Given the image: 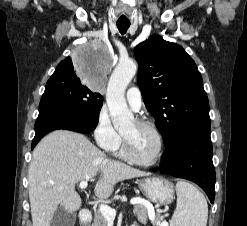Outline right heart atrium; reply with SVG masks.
I'll return each mask as SVG.
<instances>
[{"label": "right heart atrium", "mask_w": 247, "mask_h": 226, "mask_svg": "<svg viewBox=\"0 0 247 226\" xmlns=\"http://www.w3.org/2000/svg\"><path fill=\"white\" fill-rule=\"evenodd\" d=\"M93 133L97 145L107 151L113 150L121 140L119 133L112 125L105 105L98 111Z\"/></svg>", "instance_id": "obj_1"}]
</instances>
